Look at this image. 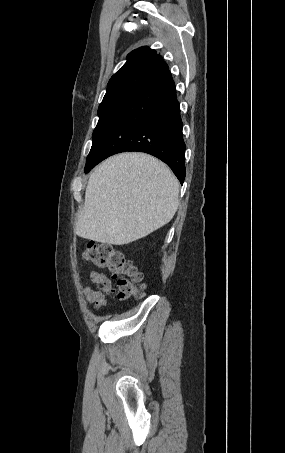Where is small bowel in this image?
<instances>
[{
	"label": "small bowel",
	"mask_w": 285,
	"mask_h": 453,
	"mask_svg": "<svg viewBox=\"0 0 285 453\" xmlns=\"http://www.w3.org/2000/svg\"><path fill=\"white\" fill-rule=\"evenodd\" d=\"M89 278L96 285L95 288L86 286L84 288V296L88 303L94 305V309L98 310L104 307L107 303L109 294L112 289L110 279L103 273L98 271H90Z\"/></svg>",
	"instance_id": "small-bowel-1"
}]
</instances>
